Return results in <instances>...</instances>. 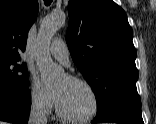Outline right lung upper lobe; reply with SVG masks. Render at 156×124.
<instances>
[{
  "mask_svg": "<svg viewBox=\"0 0 156 124\" xmlns=\"http://www.w3.org/2000/svg\"><path fill=\"white\" fill-rule=\"evenodd\" d=\"M37 13L38 0H0V61L20 60Z\"/></svg>",
  "mask_w": 156,
  "mask_h": 124,
  "instance_id": "1",
  "label": "right lung upper lobe"
}]
</instances>
